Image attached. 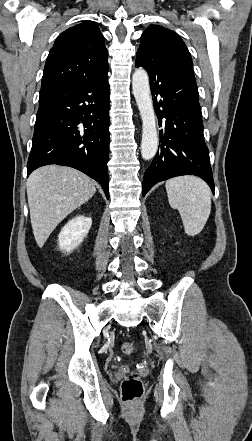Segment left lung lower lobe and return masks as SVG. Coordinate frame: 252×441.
<instances>
[{"instance_id":"obj_1","label":"left lung lower lobe","mask_w":252,"mask_h":441,"mask_svg":"<svg viewBox=\"0 0 252 441\" xmlns=\"http://www.w3.org/2000/svg\"><path fill=\"white\" fill-rule=\"evenodd\" d=\"M150 77L161 145L143 179V196L156 183L180 175H196L214 193L209 150L204 141L199 93L193 71L185 64L160 59L154 65L136 62ZM162 107V110L159 109ZM166 121L162 124V119Z\"/></svg>"}]
</instances>
